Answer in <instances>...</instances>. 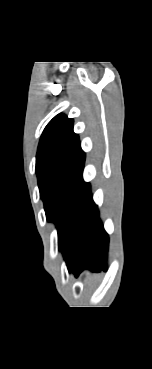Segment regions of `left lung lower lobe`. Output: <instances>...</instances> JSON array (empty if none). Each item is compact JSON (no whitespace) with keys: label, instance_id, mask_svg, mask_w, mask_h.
Returning <instances> with one entry per match:
<instances>
[{"label":"left lung lower lobe","instance_id":"left-lung-lower-lobe-1","mask_svg":"<svg viewBox=\"0 0 152 369\" xmlns=\"http://www.w3.org/2000/svg\"><path fill=\"white\" fill-rule=\"evenodd\" d=\"M108 234L99 219L89 183H83L74 204L60 250L69 272L75 276L85 269H105Z\"/></svg>","mask_w":152,"mask_h":369}]
</instances>
